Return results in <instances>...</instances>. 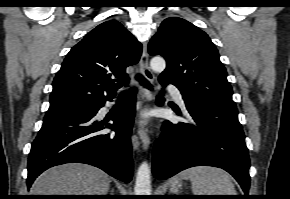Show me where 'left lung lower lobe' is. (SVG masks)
Returning <instances> with one entry per match:
<instances>
[{"label": "left lung lower lobe", "instance_id": "obj_1", "mask_svg": "<svg viewBox=\"0 0 290 199\" xmlns=\"http://www.w3.org/2000/svg\"><path fill=\"white\" fill-rule=\"evenodd\" d=\"M183 99L190 121L164 123V135L154 145V176L166 179L193 166L219 167L234 176L248 198L250 162L237 109L196 97ZM163 102L158 96L157 104Z\"/></svg>", "mask_w": 290, "mask_h": 199}]
</instances>
